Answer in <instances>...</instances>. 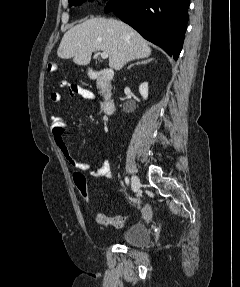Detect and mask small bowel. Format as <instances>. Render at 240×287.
I'll return each mask as SVG.
<instances>
[{
	"label": "small bowel",
	"mask_w": 240,
	"mask_h": 287,
	"mask_svg": "<svg viewBox=\"0 0 240 287\" xmlns=\"http://www.w3.org/2000/svg\"><path fill=\"white\" fill-rule=\"evenodd\" d=\"M63 87H67V84L64 82L62 83ZM69 94L72 97H81L86 100L94 101L98 104V100L96 95L80 86H69L68 87ZM50 99L53 103H59L62 101V94L59 92H53L50 96ZM53 140L59 151L62 153V155L65 157L67 162L77 170L81 171H89L90 174L94 177H100V178H110L112 175V166H111V160L109 158H106L101 167L94 170L93 163H86L78 160L73 153L71 152L68 144L65 141L64 134L63 135H54L53 134ZM139 212L143 219H149L151 216V210L148 206H139Z\"/></svg>",
	"instance_id": "c3829d8e"
}]
</instances>
